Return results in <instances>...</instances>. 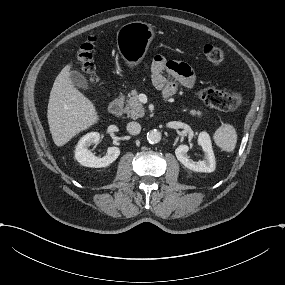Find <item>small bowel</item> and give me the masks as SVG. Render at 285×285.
I'll return each instance as SVG.
<instances>
[{
    "label": "small bowel",
    "mask_w": 285,
    "mask_h": 285,
    "mask_svg": "<svg viewBox=\"0 0 285 285\" xmlns=\"http://www.w3.org/2000/svg\"><path fill=\"white\" fill-rule=\"evenodd\" d=\"M149 69L153 85L162 91L166 99L176 93L179 85L191 89L196 84L194 71L188 64L181 61L166 60L157 55L152 60Z\"/></svg>",
    "instance_id": "obj_1"
}]
</instances>
